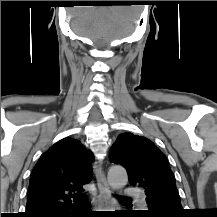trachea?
I'll return each instance as SVG.
<instances>
[{
  "label": "trachea",
  "instance_id": "trachea-1",
  "mask_svg": "<svg viewBox=\"0 0 217 217\" xmlns=\"http://www.w3.org/2000/svg\"><path fill=\"white\" fill-rule=\"evenodd\" d=\"M118 198H119L120 200H129V198L122 197V196H118Z\"/></svg>",
  "mask_w": 217,
  "mask_h": 217
}]
</instances>
